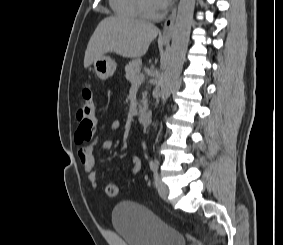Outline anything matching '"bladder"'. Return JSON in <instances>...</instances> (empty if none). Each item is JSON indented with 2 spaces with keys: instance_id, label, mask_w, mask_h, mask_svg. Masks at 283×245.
Instances as JSON below:
<instances>
[{
  "instance_id": "obj_1",
  "label": "bladder",
  "mask_w": 283,
  "mask_h": 245,
  "mask_svg": "<svg viewBox=\"0 0 283 245\" xmlns=\"http://www.w3.org/2000/svg\"><path fill=\"white\" fill-rule=\"evenodd\" d=\"M112 223L127 245H186L185 236L149 208L131 201L118 203Z\"/></svg>"
}]
</instances>
